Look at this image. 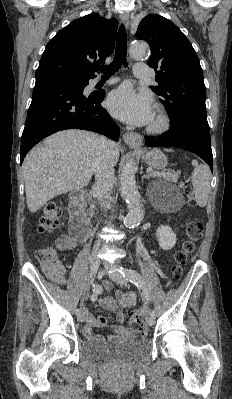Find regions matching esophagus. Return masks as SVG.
Wrapping results in <instances>:
<instances>
[{
  "instance_id": "1",
  "label": "esophagus",
  "mask_w": 232,
  "mask_h": 399,
  "mask_svg": "<svg viewBox=\"0 0 232 399\" xmlns=\"http://www.w3.org/2000/svg\"><path fill=\"white\" fill-rule=\"evenodd\" d=\"M119 17L124 26H126V28H129V12L123 11L119 14ZM123 140L126 145L133 149L139 148L142 145V137L136 132L124 133Z\"/></svg>"
}]
</instances>
